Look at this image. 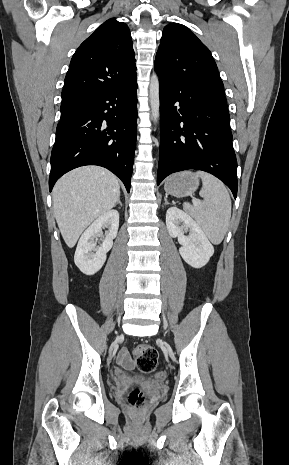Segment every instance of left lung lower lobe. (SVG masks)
<instances>
[{
	"instance_id": "1",
	"label": "left lung lower lobe",
	"mask_w": 289,
	"mask_h": 465,
	"mask_svg": "<svg viewBox=\"0 0 289 465\" xmlns=\"http://www.w3.org/2000/svg\"><path fill=\"white\" fill-rule=\"evenodd\" d=\"M160 155L157 184L187 169L209 172L237 196V160L223 93L160 78Z\"/></svg>"
}]
</instances>
